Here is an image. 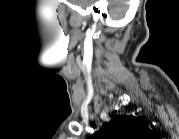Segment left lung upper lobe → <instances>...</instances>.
<instances>
[{
  "label": "left lung upper lobe",
  "instance_id": "1",
  "mask_svg": "<svg viewBox=\"0 0 179 139\" xmlns=\"http://www.w3.org/2000/svg\"><path fill=\"white\" fill-rule=\"evenodd\" d=\"M148 133L149 128L137 117L121 115L113 116L90 139H141Z\"/></svg>",
  "mask_w": 179,
  "mask_h": 139
}]
</instances>
